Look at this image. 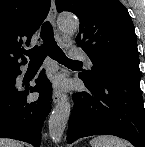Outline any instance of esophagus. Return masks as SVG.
<instances>
[{
  "instance_id": "esophagus-1",
  "label": "esophagus",
  "mask_w": 145,
  "mask_h": 147,
  "mask_svg": "<svg viewBox=\"0 0 145 147\" xmlns=\"http://www.w3.org/2000/svg\"><path fill=\"white\" fill-rule=\"evenodd\" d=\"M56 15H57V10H56L55 1L51 0V7H50V12H49V21L52 24H55ZM66 97L67 96H66L65 93L58 92L53 96V103L56 104V103L60 102L61 100L66 99Z\"/></svg>"
}]
</instances>
